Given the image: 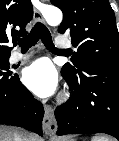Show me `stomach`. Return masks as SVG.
Listing matches in <instances>:
<instances>
[{
	"label": "stomach",
	"instance_id": "stomach-1",
	"mask_svg": "<svg viewBox=\"0 0 119 141\" xmlns=\"http://www.w3.org/2000/svg\"><path fill=\"white\" fill-rule=\"evenodd\" d=\"M64 141H75V140H73V139H66V140H64Z\"/></svg>",
	"mask_w": 119,
	"mask_h": 141
}]
</instances>
